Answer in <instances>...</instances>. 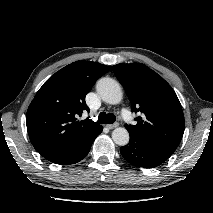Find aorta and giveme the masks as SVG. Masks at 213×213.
Listing matches in <instances>:
<instances>
[{
  "label": "aorta",
  "instance_id": "762f6f07",
  "mask_svg": "<svg viewBox=\"0 0 213 213\" xmlns=\"http://www.w3.org/2000/svg\"><path fill=\"white\" fill-rule=\"evenodd\" d=\"M97 92L102 100L109 104H118L122 100V90L120 84L112 78H102L97 82ZM112 139L115 144L125 146L128 144L130 136L127 129L118 127L112 132Z\"/></svg>",
  "mask_w": 213,
  "mask_h": 213
}]
</instances>
